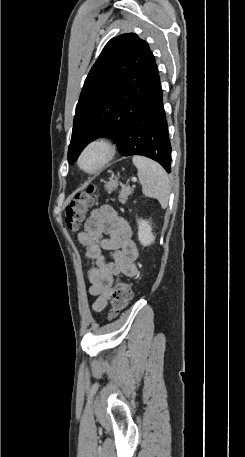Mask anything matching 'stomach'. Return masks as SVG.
Returning a JSON list of instances; mask_svg holds the SVG:
<instances>
[{
    "instance_id": "stomach-1",
    "label": "stomach",
    "mask_w": 245,
    "mask_h": 457,
    "mask_svg": "<svg viewBox=\"0 0 245 457\" xmlns=\"http://www.w3.org/2000/svg\"><path fill=\"white\" fill-rule=\"evenodd\" d=\"M119 184V176H114V178H109V180H106L104 186L105 190L107 192H112V190H115Z\"/></svg>"
}]
</instances>
